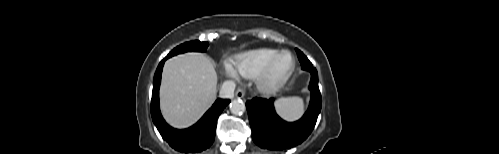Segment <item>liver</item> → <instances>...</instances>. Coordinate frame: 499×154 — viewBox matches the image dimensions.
Returning <instances> with one entry per match:
<instances>
[{"instance_id":"obj_1","label":"liver","mask_w":499,"mask_h":154,"mask_svg":"<svg viewBox=\"0 0 499 154\" xmlns=\"http://www.w3.org/2000/svg\"><path fill=\"white\" fill-rule=\"evenodd\" d=\"M217 73L211 60L190 52L166 61L160 88L165 120L175 128L196 123L216 99Z\"/></svg>"}]
</instances>
